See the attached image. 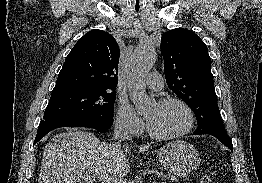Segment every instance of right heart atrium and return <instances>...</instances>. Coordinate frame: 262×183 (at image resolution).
Here are the masks:
<instances>
[{
    "label": "right heart atrium",
    "instance_id": "right-heart-atrium-1",
    "mask_svg": "<svg viewBox=\"0 0 262 183\" xmlns=\"http://www.w3.org/2000/svg\"><path fill=\"white\" fill-rule=\"evenodd\" d=\"M115 127L126 134L137 135L143 130V122L125 101H119L114 117Z\"/></svg>",
    "mask_w": 262,
    "mask_h": 183
}]
</instances>
